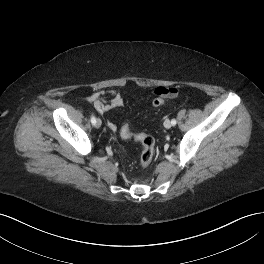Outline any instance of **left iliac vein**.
Segmentation results:
<instances>
[{
	"mask_svg": "<svg viewBox=\"0 0 264 264\" xmlns=\"http://www.w3.org/2000/svg\"><path fill=\"white\" fill-rule=\"evenodd\" d=\"M171 126H172L171 122L169 120H165L164 127L169 129V128H171Z\"/></svg>",
	"mask_w": 264,
	"mask_h": 264,
	"instance_id": "obj_1",
	"label": "left iliac vein"
}]
</instances>
